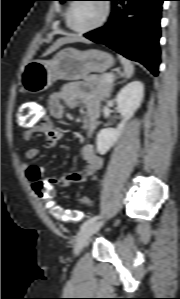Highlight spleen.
Returning a JSON list of instances; mask_svg holds the SVG:
<instances>
[{"label": "spleen", "mask_w": 180, "mask_h": 299, "mask_svg": "<svg viewBox=\"0 0 180 299\" xmlns=\"http://www.w3.org/2000/svg\"><path fill=\"white\" fill-rule=\"evenodd\" d=\"M118 57L121 64L123 65V76L126 78L132 77L134 73V66L132 65V63L128 59L124 58L123 56L119 55Z\"/></svg>", "instance_id": "obj_1"}]
</instances>
